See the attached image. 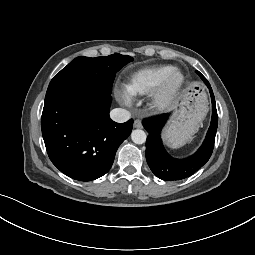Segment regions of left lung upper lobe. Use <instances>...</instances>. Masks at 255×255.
Listing matches in <instances>:
<instances>
[{"label":"left lung upper lobe","mask_w":255,"mask_h":255,"mask_svg":"<svg viewBox=\"0 0 255 255\" xmlns=\"http://www.w3.org/2000/svg\"><path fill=\"white\" fill-rule=\"evenodd\" d=\"M196 72L198 73V75H199L202 79L205 78L199 71H196Z\"/></svg>","instance_id":"1"}]
</instances>
